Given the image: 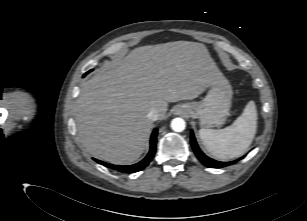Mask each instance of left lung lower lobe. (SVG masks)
Wrapping results in <instances>:
<instances>
[{
    "instance_id": "left-lung-lower-lobe-1",
    "label": "left lung lower lobe",
    "mask_w": 307,
    "mask_h": 221,
    "mask_svg": "<svg viewBox=\"0 0 307 221\" xmlns=\"http://www.w3.org/2000/svg\"><path fill=\"white\" fill-rule=\"evenodd\" d=\"M191 145L193 147L194 153L197 156V158L207 167H211V168H222L225 166H229L231 164L236 163L237 161H239L240 159H242L243 157L231 161V162H220V161H216L214 159H211L209 157H207L198 147L197 142L195 140L194 134L193 132H191Z\"/></svg>"
}]
</instances>
